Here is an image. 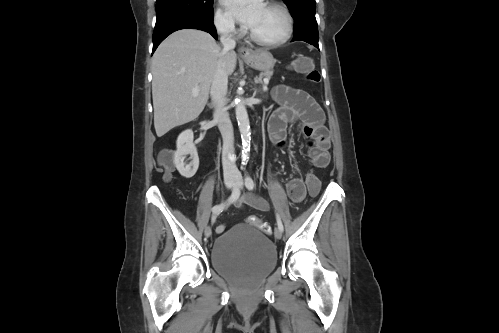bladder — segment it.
Instances as JSON below:
<instances>
[{"instance_id": "bladder-1", "label": "bladder", "mask_w": 499, "mask_h": 333, "mask_svg": "<svg viewBox=\"0 0 499 333\" xmlns=\"http://www.w3.org/2000/svg\"><path fill=\"white\" fill-rule=\"evenodd\" d=\"M211 263L221 276L242 288L261 283L277 266V250L255 226L232 225L211 249Z\"/></svg>"}]
</instances>
